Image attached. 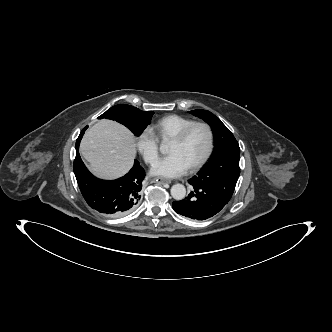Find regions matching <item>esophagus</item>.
Returning <instances> with one entry per match:
<instances>
[{
	"label": "esophagus",
	"mask_w": 332,
	"mask_h": 332,
	"mask_svg": "<svg viewBox=\"0 0 332 332\" xmlns=\"http://www.w3.org/2000/svg\"><path fill=\"white\" fill-rule=\"evenodd\" d=\"M154 181L159 184L171 183V181L169 179L162 178V177H156V178H154Z\"/></svg>",
	"instance_id": "obj_1"
}]
</instances>
